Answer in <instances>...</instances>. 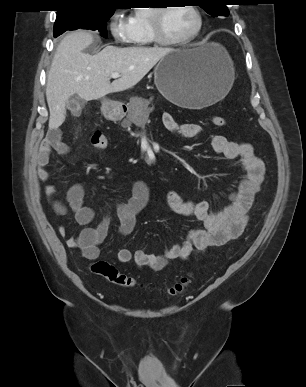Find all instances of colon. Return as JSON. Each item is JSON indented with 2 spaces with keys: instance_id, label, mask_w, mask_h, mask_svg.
<instances>
[{
  "instance_id": "obj_1",
  "label": "colon",
  "mask_w": 306,
  "mask_h": 387,
  "mask_svg": "<svg viewBox=\"0 0 306 387\" xmlns=\"http://www.w3.org/2000/svg\"><path fill=\"white\" fill-rule=\"evenodd\" d=\"M211 121L217 127H224L227 124L226 119L221 116H213ZM91 143L96 148L104 149L108 146V139L105 134L101 132H95L91 137ZM91 270L93 273L104 277L117 286L123 288H133L137 286V282L133 277L121 273L113 264L107 261H95L91 265ZM191 280V274L183 276L178 282L167 289V293L171 296L182 294L189 287Z\"/></svg>"
}]
</instances>
